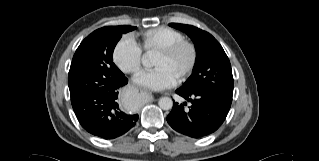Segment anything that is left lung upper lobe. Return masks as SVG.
I'll use <instances>...</instances> for the list:
<instances>
[{
	"mask_svg": "<svg viewBox=\"0 0 319 161\" xmlns=\"http://www.w3.org/2000/svg\"><path fill=\"white\" fill-rule=\"evenodd\" d=\"M169 26L187 34L196 49V60L192 74L180 89L200 90L227 102H232L231 64L220 43L210 33L192 25L171 23Z\"/></svg>",
	"mask_w": 319,
	"mask_h": 161,
	"instance_id": "obj_1",
	"label": "left lung upper lobe"
}]
</instances>
